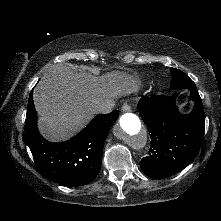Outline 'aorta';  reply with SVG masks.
Masks as SVG:
<instances>
[{
  "label": "aorta",
  "mask_w": 221,
  "mask_h": 221,
  "mask_svg": "<svg viewBox=\"0 0 221 221\" xmlns=\"http://www.w3.org/2000/svg\"><path fill=\"white\" fill-rule=\"evenodd\" d=\"M116 137L123 140L134 149H141L147 143L146 131L142 128L140 119L133 113H125L113 128Z\"/></svg>",
  "instance_id": "762f6f07"
}]
</instances>
